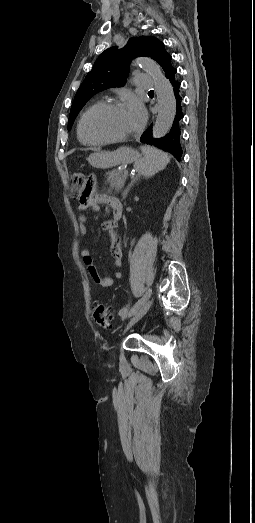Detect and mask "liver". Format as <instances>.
Wrapping results in <instances>:
<instances>
[{"label": "liver", "instance_id": "1", "mask_svg": "<svg viewBox=\"0 0 255 523\" xmlns=\"http://www.w3.org/2000/svg\"><path fill=\"white\" fill-rule=\"evenodd\" d=\"M113 154L114 152H98V154H91L87 160L91 166L99 168V164L103 162V158H112Z\"/></svg>", "mask_w": 255, "mask_h": 523}]
</instances>
